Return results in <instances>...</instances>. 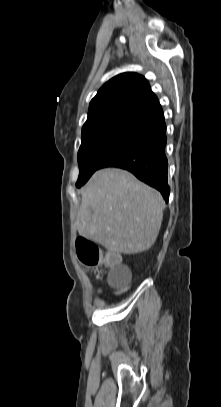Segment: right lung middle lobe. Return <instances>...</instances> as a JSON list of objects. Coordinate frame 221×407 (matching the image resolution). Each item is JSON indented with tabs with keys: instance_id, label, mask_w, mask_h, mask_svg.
I'll return each mask as SVG.
<instances>
[{
	"instance_id": "obj_1",
	"label": "right lung middle lobe",
	"mask_w": 221,
	"mask_h": 407,
	"mask_svg": "<svg viewBox=\"0 0 221 407\" xmlns=\"http://www.w3.org/2000/svg\"><path fill=\"white\" fill-rule=\"evenodd\" d=\"M139 126L116 125L92 131L81 139L78 151L80 188L100 168L101 163L121 145Z\"/></svg>"
}]
</instances>
